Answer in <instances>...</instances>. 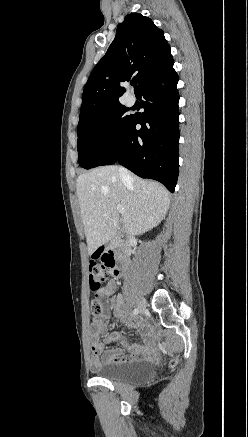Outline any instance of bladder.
<instances>
[{
	"label": "bladder",
	"instance_id": "bladder-1",
	"mask_svg": "<svg viewBox=\"0 0 248 437\" xmlns=\"http://www.w3.org/2000/svg\"><path fill=\"white\" fill-rule=\"evenodd\" d=\"M154 366L148 361H131L103 365L98 376L112 382H141L152 376Z\"/></svg>",
	"mask_w": 248,
	"mask_h": 437
}]
</instances>
